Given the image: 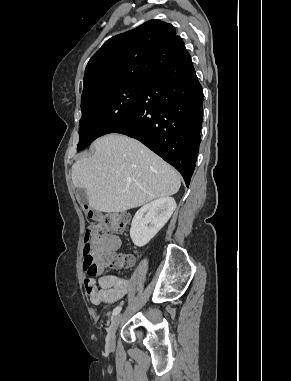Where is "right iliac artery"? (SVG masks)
Here are the masks:
<instances>
[{"label":"right iliac artery","instance_id":"82829eb1","mask_svg":"<svg viewBox=\"0 0 291 381\" xmlns=\"http://www.w3.org/2000/svg\"><path fill=\"white\" fill-rule=\"evenodd\" d=\"M121 309H122L121 306H117V307H115L114 310H113L112 315H113V316H116V315L121 311Z\"/></svg>","mask_w":291,"mask_h":381}]
</instances>
